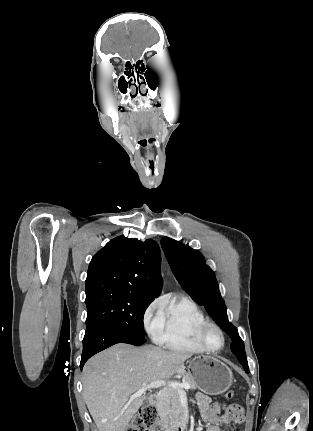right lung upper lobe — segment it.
<instances>
[{
    "label": "right lung upper lobe",
    "instance_id": "obj_1",
    "mask_svg": "<svg viewBox=\"0 0 313 431\" xmlns=\"http://www.w3.org/2000/svg\"><path fill=\"white\" fill-rule=\"evenodd\" d=\"M160 263V249L154 240L116 237L93 256L86 278V297L118 289L155 299L162 287Z\"/></svg>",
    "mask_w": 313,
    "mask_h": 431
}]
</instances>
